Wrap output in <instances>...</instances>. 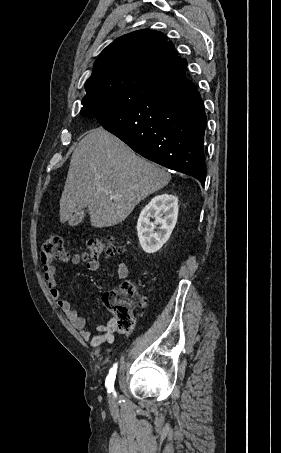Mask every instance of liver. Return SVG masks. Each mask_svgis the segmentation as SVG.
Masks as SVG:
<instances>
[{
	"instance_id": "1",
	"label": "liver",
	"mask_w": 281,
	"mask_h": 453,
	"mask_svg": "<svg viewBox=\"0 0 281 453\" xmlns=\"http://www.w3.org/2000/svg\"><path fill=\"white\" fill-rule=\"evenodd\" d=\"M169 180L166 168L136 156L125 142L101 126L92 128L71 156L60 198V220L66 222L73 212L87 206L92 227H114L140 200ZM112 194L118 198H111Z\"/></svg>"
}]
</instances>
